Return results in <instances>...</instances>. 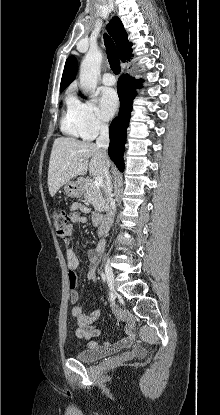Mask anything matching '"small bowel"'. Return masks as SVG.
<instances>
[{
	"instance_id": "small-bowel-1",
	"label": "small bowel",
	"mask_w": 220,
	"mask_h": 415,
	"mask_svg": "<svg viewBox=\"0 0 220 415\" xmlns=\"http://www.w3.org/2000/svg\"><path fill=\"white\" fill-rule=\"evenodd\" d=\"M89 209L81 203H73L70 206V221L66 227L64 234L58 237L66 244V258L68 265V280L71 288V303L77 304L80 300V292L77 289L78 275L77 269L81 264L80 257L75 250L69 246V237L73 233L74 224L87 223L89 220L82 215V213H88ZM102 216L95 213L92 217L93 224H99ZM106 250V240L101 239L95 249H90L86 252V258L88 260L87 277L89 280L94 281L96 278V267ZM72 316L77 326L76 336L81 339H92L99 336V330L95 326V322L100 318L101 311L99 309L92 310L88 313H84L83 309L79 306H75L72 309ZM115 317L124 322V337L120 340L110 343L106 342L103 346L109 350H115L118 348L128 347L133 341V328L128 323L127 316L121 311L115 312ZM88 346L97 347L99 344L95 341H90Z\"/></svg>"
}]
</instances>
